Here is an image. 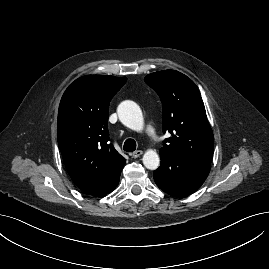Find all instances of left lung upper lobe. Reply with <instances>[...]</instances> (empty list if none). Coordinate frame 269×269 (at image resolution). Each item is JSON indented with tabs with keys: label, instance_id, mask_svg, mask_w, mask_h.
<instances>
[{
	"label": "left lung upper lobe",
	"instance_id": "1",
	"mask_svg": "<svg viewBox=\"0 0 269 269\" xmlns=\"http://www.w3.org/2000/svg\"><path fill=\"white\" fill-rule=\"evenodd\" d=\"M144 81L160 96L163 133L171 134L160 151L211 163L214 138L194 82L174 70L149 74Z\"/></svg>",
	"mask_w": 269,
	"mask_h": 269
}]
</instances>
